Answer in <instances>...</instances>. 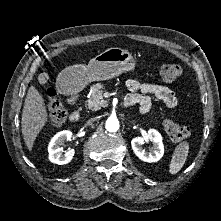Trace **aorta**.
<instances>
[{
	"mask_svg": "<svg viewBox=\"0 0 221 221\" xmlns=\"http://www.w3.org/2000/svg\"><path fill=\"white\" fill-rule=\"evenodd\" d=\"M105 128L108 132H116L119 130V120L116 117H109L106 120Z\"/></svg>",
	"mask_w": 221,
	"mask_h": 221,
	"instance_id": "762f6f07",
	"label": "aorta"
}]
</instances>
